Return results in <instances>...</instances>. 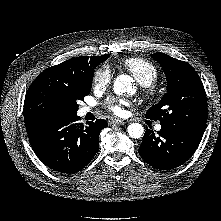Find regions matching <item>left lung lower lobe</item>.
Returning a JSON list of instances; mask_svg holds the SVG:
<instances>
[{"label": "left lung lower lobe", "instance_id": "0a47b994", "mask_svg": "<svg viewBox=\"0 0 221 221\" xmlns=\"http://www.w3.org/2000/svg\"><path fill=\"white\" fill-rule=\"evenodd\" d=\"M158 135L146 128L139 148L140 156L151 166L169 170L185 163L196 151L203 134L162 127Z\"/></svg>", "mask_w": 221, "mask_h": 221}]
</instances>
